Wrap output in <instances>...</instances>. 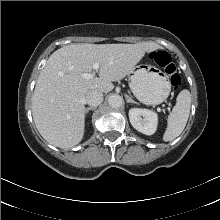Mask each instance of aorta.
Masks as SVG:
<instances>
[{
    "label": "aorta",
    "mask_w": 220,
    "mask_h": 220,
    "mask_svg": "<svg viewBox=\"0 0 220 220\" xmlns=\"http://www.w3.org/2000/svg\"><path fill=\"white\" fill-rule=\"evenodd\" d=\"M108 104L112 108H120L123 104V99L118 94H112L108 98Z\"/></svg>",
    "instance_id": "762f6f07"
}]
</instances>
